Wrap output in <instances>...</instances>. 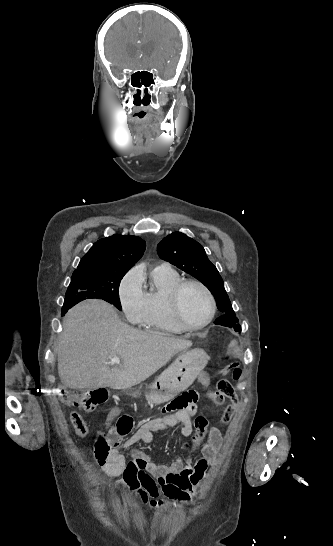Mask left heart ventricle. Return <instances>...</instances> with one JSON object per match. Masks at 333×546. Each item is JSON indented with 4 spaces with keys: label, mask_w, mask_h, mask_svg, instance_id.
<instances>
[{
    "label": "left heart ventricle",
    "mask_w": 333,
    "mask_h": 546,
    "mask_svg": "<svg viewBox=\"0 0 333 546\" xmlns=\"http://www.w3.org/2000/svg\"><path fill=\"white\" fill-rule=\"evenodd\" d=\"M180 305L185 320L191 325L202 324L210 313L206 294L195 285H188L183 289Z\"/></svg>",
    "instance_id": "left-heart-ventricle-1"
}]
</instances>
